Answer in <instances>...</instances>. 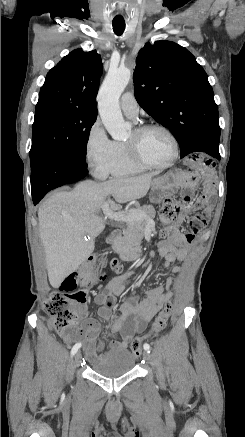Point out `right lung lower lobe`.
Here are the masks:
<instances>
[{"label": "right lung lower lobe", "instance_id": "obj_1", "mask_svg": "<svg viewBox=\"0 0 245 437\" xmlns=\"http://www.w3.org/2000/svg\"><path fill=\"white\" fill-rule=\"evenodd\" d=\"M86 162H70L58 157H46L31 166V190L34 205L50 190L84 178Z\"/></svg>", "mask_w": 245, "mask_h": 437}]
</instances>
